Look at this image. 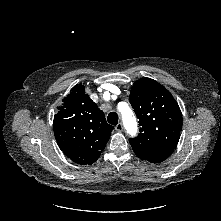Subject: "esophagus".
Segmentation results:
<instances>
[{
	"label": "esophagus",
	"mask_w": 221,
	"mask_h": 221,
	"mask_svg": "<svg viewBox=\"0 0 221 221\" xmlns=\"http://www.w3.org/2000/svg\"><path fill=\"white\" fill-rule=\"evenodd\" d=\"M115 129L117 130V131H122L123 130V124L122 123H118L116 126H115Z\"/></svg>",
	"instance_id": "1"
}]
</instances>
